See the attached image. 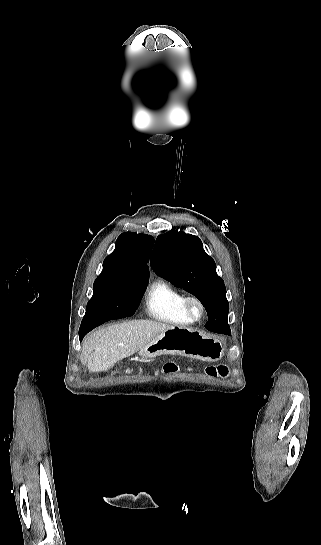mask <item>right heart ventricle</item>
I'll return each instance as SVG.
<instances>
[{"instance_id":"right-heart-ventricle-1","label":"right heart ventricle","mask_w":321,"mask_h":545,"mask_svg":"<svg viewBox=\"0 0 321 545\" xmlns=\"http://www.w3.org/2000/svg\"><path fill=\"white\" fill-rule=\"evenodd\" d=\"M186 294L173 287L163 278H154L146 299L147 315L158 322L173 327H189L193 321L184 310Z\"/></svg>"}]
</instances>
